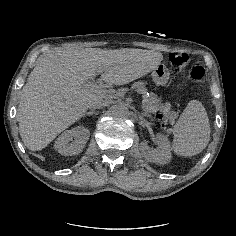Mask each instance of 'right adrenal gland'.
I'll return each instance as SVG.
<instances>
[{
  "instance_id": "2a0ac1e0",
  "label": "right adrenal gland",
  "mask_w": 236,
  "mask_h": 236,
  "mask_svg": "<svg viewBox=\"0 0 236 236\" xmlns=\"http://www.w3.org/2000/svg\"><path fill=\"white\" fill-rule=\"evenodd\" d=\"M100 113V111H96L94 108L93 109H91L87 114H86V116H89V115H97V114H99Z\"/></svg>"
}]
</instances>
